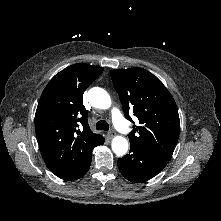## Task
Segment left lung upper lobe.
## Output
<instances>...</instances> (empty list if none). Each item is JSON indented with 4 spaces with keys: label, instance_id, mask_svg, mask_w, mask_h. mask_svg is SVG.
<instances>
[{
    "label": "left lung upper lobe",
    "instance_id": "obj_1",
    "mask_svg": "<svg viewBox=\"0 0 221 221\" xmlns=\"http://www.w3.org/2000/svg\"><path fill=\"white\" fill-rule=\"evenodd\" d=\"M125 117L129 112L138 118L128 135L130 144L171 159L180 131L176 103L164 84L143 68L111 71ZM134 123V122H133Z\"/></svg>",
    "mask_w": 221,
    "mask_h": 221
}]
</instances>
